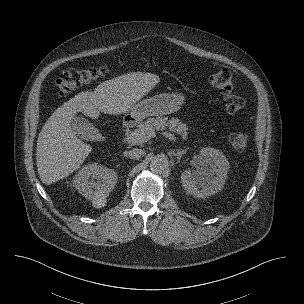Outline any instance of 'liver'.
<instances>
[{"label": "liver", "mask_w": 304, "mask_h": 304, "mask_svg": "<svg viewBox=\"0 0 304 304\" xmlns=\"http://www.w3.org/2000/svg\"><path fill=\"white\" fill-rule=\"evenodd\" d=\"M160 82L152 73L132 72L84 91L57 108L39 133L36 148L38 174L44 184H52L80 168L92 148L73 132V117L82 112L96 119L100 112L120 115L132 107Z\"/></svg>", "instance_id": "obj_1"}]
</instances>
